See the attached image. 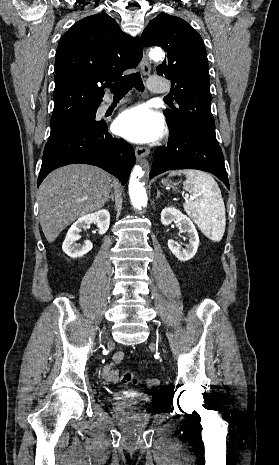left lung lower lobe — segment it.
<instances>
[{
	"mask_svg": "<svg viewBox=\"0 0 279 465\" xmlns=\"http://www.w3.org/2000/svg\"><path fill=\"white\" fill-rule=\"evenodd\" d=\"M198 169L218 177L229 189L224 157L218 141L192 130L170 132L166 146L155 153L150 178L168 170Z\"/></svg>",
	"mask_w": 279,
	"mask_h": 465,
	"instance_id": "obj_1",
	"label": "left lung lower lobe"
}]
</instances>
